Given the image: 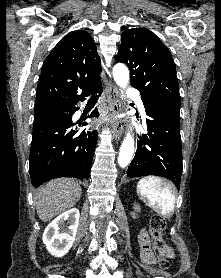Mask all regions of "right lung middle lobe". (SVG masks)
Masks as SVG:
<instances>
[{
	"label": "right lung middle lobe",
	"instance_id": "right-lung-middle-lobe-1",
	"mask_svg": "<svg viewBox=\"0 0 221 278\" xmlns=\"http://www.w3.org/2000/svg\"><path fill=\"white\" fill-rule=\"evenodd\" d=\"M63 108L57 103H46L35 105L34 122H37L47 116L59 113Z\"/></svg>",
	"mask_w": 221,
	"mask_h": 278
}]
</instances>
